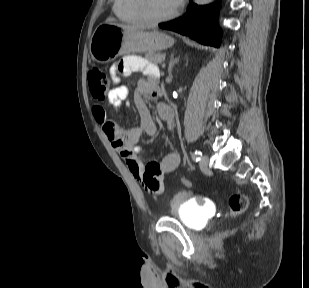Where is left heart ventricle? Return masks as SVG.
Segmentation results:
<instances>
[{
	"label": "left heart ventricle",
	"mask_w": 309,
	"mask_h": 288,
	"mask_svg": "<svg viewBox=\"0 0 309 288\" xmlns=\"http://www.w3.org/2000/svg\"><path fill=\"white\" fill-rule=\"evenodd\" d=\"M177 5L175 0H149L150 11L157 16L171 12Z\"/></svg>",
	"instance_id": "obj_1"
}]
</instances>
